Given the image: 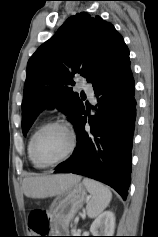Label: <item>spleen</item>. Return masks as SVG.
I'll use <instances>...</instances> for the list:
<instances>
[{"label":"spleen","instance_id":"spleen-1","mask_svg":"<svg viewBox=\"0 0 158 237\" xmlns=\"http://www.w3.org/2000/svg\"><path fill=\"white\" fill-rule=\"evenodd\" d=\"M83 184L91 194V200L86 206L87 215L90 218H96L110 203L112 193L107 186L90 178H84Z\"/></svg>","mask_w":158,"mask_h":237}]
</instances>
